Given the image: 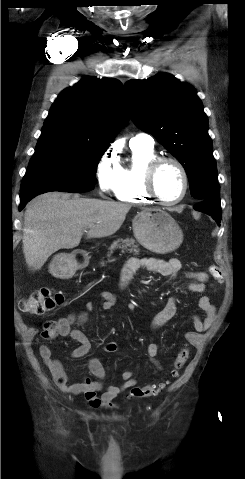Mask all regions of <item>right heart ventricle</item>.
Listing matches in <instances>:
<instances>
[{
    "label": "right heart ventricle",
    "mask_w": 245,
    "mask_h": 479,
    "mask_svg": "<svg viewBox=\"0 0 245 479\" xmlns=\"http://www.w3.org/2000/svg\"><path fill=\"white\" fill-rule=\"evenodd\" d=\"M131 158L128 165L120 167L115 195L127 203H151L144 188V173L148 163L157 157L153 147L130 144Z\"/></svg>",
    "instance_id": "right-heart-ventricle-1"
}]
</instances>
